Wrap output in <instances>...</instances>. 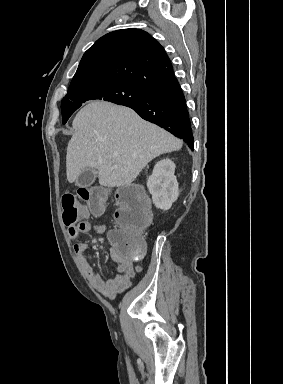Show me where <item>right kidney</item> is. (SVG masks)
Masks as SVG:
<instances>
[{
    "mask_svg": "<svg viewBox=\"0 0 283 384\" xmlns=\"http://www.w3.org/2000/svg\"><path fill=\"white\" fill-rule=\"evenodd\" d=\"M175 164L172 160H160L154 166L152 176L147 180V188L152 194L153 204L160 210H170L179 196Z\"/></svg>",
    "mask_w": 283,
    "mask_h": 384,
    "instance_id": "ca27d5eb",
    "label": "right kidney"
}]
</instances>
